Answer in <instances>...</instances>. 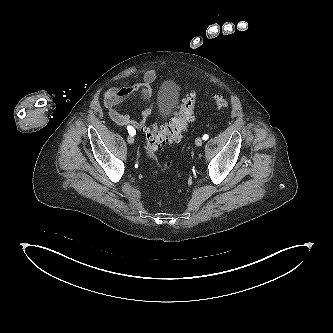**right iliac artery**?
<instances>
[{"label":"right iliac artery","mask_w":333,"mask_h":333,"mask_svg":"<svg viewBox=\"0 0 333 333\" xmlns=\"http://www.w3.org/2000/svg\"><path fill=\"white\" fill-rule=\"evenodd\" d=\"M127 130L129 132V134L132 135V136L135 135V133H136V130L132 127H127Z\"/></svg>","instance_id":"82829eb1"}]
</instances>
